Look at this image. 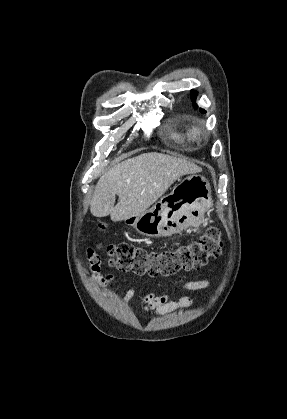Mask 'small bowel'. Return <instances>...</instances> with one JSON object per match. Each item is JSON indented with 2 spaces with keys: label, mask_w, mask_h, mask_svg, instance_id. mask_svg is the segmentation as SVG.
Returning <instances> with one entry per match:
<instances>
[{
  "label": "small bowel",
  "mask_w": 287,
  "mask_h": 419,
  "mask_svg": "<svg viewBox=\"0 0 287 419\" xmlns=\"http://www.w3.org/2000/svg\"><path fill=\"white\" fill-rule=\"evenodd\" d=\"M100 258L94 256L93 254L89 253V259L86 265L91 269L93 273H95L98 282L102 286H107L113 281L112 275H107L105 277L100 275ZM204 286L203 281H192L186 284V287L191 290L199 289ZM118 288V282L116 283L115 289ZM135 289L131 287L125 297L124 300L128 301L134 294ZM191 304V300L187 297L182 298L178 302H169L167 295L157 296L153 293H149L145 295L141 300V305L145 312H153L156 315H164L170 312L177 311L179 309L188 307Z\"/></svg>",
  "instance_id": "small-bowel-1"
}]
</instances>
